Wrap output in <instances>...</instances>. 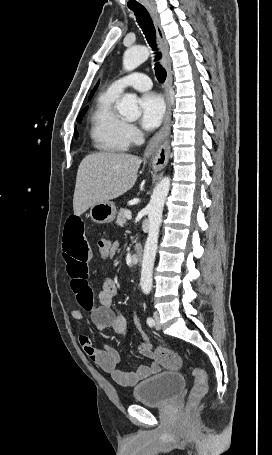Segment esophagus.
I'll use <instances>...</instances> for the list:
<instances>
[{"mask_svg":"<svg viewBox=\"0 0 272 455\" xmlns=\"http://www.w3.org/2000/svg\"><path fill=\"white\" fill-rule=\"evenodd\" d=\"M149 14L152 17L153 23L156 28L157 36L162 50V62L167 72L165 81V98L167 104V111L162 128L151 138L146 150L145 157L151 162V165L156 170L163 169L169 158V133H170V120H171V99L170 89L172 85V70L171 60L169 56V46L165 38L159 18L150 4L146 5Z\"/></svg>","mask_w":272,"mask_h":455,"instance_id":"esophagus-1","label":"esophagus"}]
</instances>
